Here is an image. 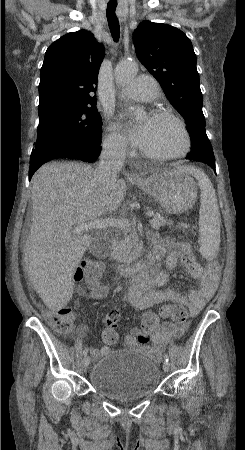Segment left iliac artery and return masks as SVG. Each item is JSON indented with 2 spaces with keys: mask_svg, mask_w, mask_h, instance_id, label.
Instances as JSON below:
<instances>
[{
  "mask_svg": "<svg viewBox=\"0 0 245 450\" xmlns=\"http://www.w3.org/2000/svg\"><path fill=\"white\" fill-rule=\"evenodd\" d=\"M164 358H165V361L168 362V360H169L168 354H164Z\"/></svg>",
  "mask_w": 245,
  "mask_h": 450,
  "instance_id": "obj_1",
  "label": "left iliac artery"
}]
</instances>
